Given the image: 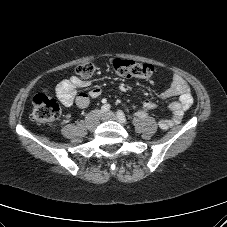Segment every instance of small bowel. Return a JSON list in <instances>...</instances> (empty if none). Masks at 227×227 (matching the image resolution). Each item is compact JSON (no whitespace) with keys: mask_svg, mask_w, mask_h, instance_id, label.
Listing matches in <instances>:
<instances>
[{"mask_svg":"<svg viewBox=\"0 0 227 227\" xmlns=\"http://www.w3.org/2000/svg\"><path fill=\"white\" fill-rule=\"evenodd\" d=\"M89 85V81L72 76L67 80L61 81L57 85L56 94L65 107H72L75 105L84 109L88 107L91 98H98L102 94L101 89L98 87L91 89L88 94L79 92V90L87 88ZM174 96L178 97V100L169 104L171 116L169 119L160 122V127L162 129H167L180 123L185 111H187L193 103L189 85L178 74L173 75L170 86L161 95L164 99ZM155 105L156 103L154 100H146L143 105L138 108L137 113L139 115H145Z\"/></svg>","mask_w":227,"mask_h":227,"instance_id":"obj_1","label":"small bowel"}]
</instances>
